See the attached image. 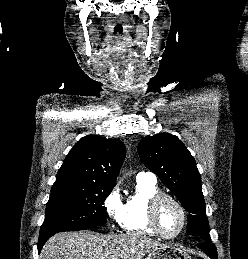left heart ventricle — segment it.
<instances>
[{
	"label": "left heart ventricle",
	"mask_w": 248,
	"mask_h": 259,
	"mask_svg": "<svg viewBox=\"0 0 248 259\" xmlns=\"http://www.w3.org/2000/svg\"><path fill=\"white\" fill-rule=\"evenodd\" d=\"M158 220L162 230L175 234L181 227L182 216L178 207L170 200H164L158 210Z\"/></svg>",
	"instance_id": "obj_1"
}]
</instances>
